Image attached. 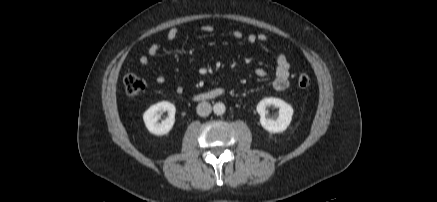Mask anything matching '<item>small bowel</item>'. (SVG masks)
<instances>
[{"instance_id": "c3829d8e", "label": "small bowel", "mask_w": 437, "mask_h": 202, "mask_svg": "<svg viewBox=\"0 0 437 202\" xmlns=\"http://www.w3.org/2000/svg\"><path fill=\"white\" fill-rule=\"evenodd\" d=\"M201 31L204 33H211L213 31V27L211 25H204L201 27ZM179 34V30L177 28H171L166 34V40L168 42L174 41ZM243 33L239 30H235L232 32V37L240 40L243 38ZM268 37L264 33H252L247 36V41L250 44L256 43H265ZM161 49V45L159 43H153L147 49V53L142 55L139 58V62L143 67H147L149 65V61L151 57L156 56ZM290 68L291 64L286 56L282 53L277 54L276 56V68H275V76L272 80V87L277 91H283L289 87V77H290ZM255 74L258 77H264L266 75V71L263 68H258L255 70ZM155 81L158 84H163L165 82V77L161 74H157L155 77ZM174 91L177 94L183 92V88L180 85L175 86Z\"/></svg>"}]
</instances>
